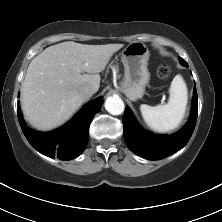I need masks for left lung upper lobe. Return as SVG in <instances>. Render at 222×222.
Wrapping results in <instances>:
<instances>
[{
	"mask_svg": "<svg viewBox=\"0 0 222 222\" xmlns=\"http://www.w3.org/2000/svg\"><path fill=\"white\" fill-rule=\"evenodd\" d=\"M179 60H180V63L183 65V66H188V64L186 63V61L184 59H182L181 57H179Z\"/></svg>",
	"mask_w": 222,
	"mask_h": 222,
	"instance_id": "left-lung-upper-lobe-1",
	"label": "left lung upper lobe"
}]
</instances>
